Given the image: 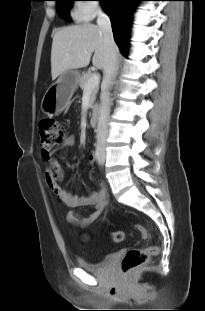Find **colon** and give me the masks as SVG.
I'll return each mask as SVG.
<instances>
[{
    "label": "colon",
    "mask_w": 205,
    "mask_h": 311,
    "mask_svg": "<svg viewBox=\"0 0 205 311\" xmlns=\"http://www.w3.org/2000/svg\"><path fill=\"white\" fill-rule=\"evenodd\" d=\"M65 138V129L60 122L53 119L42 121L40 124V144L42 157L49 159L52 149L62 144L65 141ZM135 228L140 233L142 238H148L149 233L145 227L137 225ZM111 237L114 242H122L124 240V234L121 231L114 232ZM157 254L158 247L156 246H151L144 249H130L127 251L121 261V271L123 273H128L133 269L144 265L152 256Z\"/></svg>",
    "instance_id": "5ec220e1"
}]
</instances>
